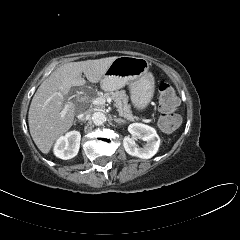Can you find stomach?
<instances>
[{
	"label": "stomach",
	"mask_w": 240,
	"mask_h": 240,
	"mask_svg": "<svg viewBox=\"0 0 240 240\" xmlns=\"http://www.w3.org/2000/svg\"><path fill=\"white\" fill-rule=\"evenodd\" d=\"M101 88L114 91L129 85L131 101L138 110L147 107L154 94V76L145 58L117 57L101 79Z\"/></svg>",
	"instance_id": "1"
}]
</instances>
